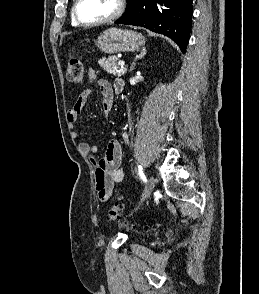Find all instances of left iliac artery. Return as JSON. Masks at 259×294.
<instances>
[{"mask_svg": "<svg viewBox=\"0 0 259 294\" xmlns=\"http://www.w3.org/2000/svg\"><path fill=\"white\" fill-rule=\"evenodd\" d=\"M138 172H139V176H140V178H141L144 182H147L146 176H145L144 173H143L142 166H139V167H138Z\"/></svg>", "mask_w": 259, "mask_h": 294, "instance_id": "left-iliac-artery-1", "label": "left iliac artery"}]
</instances>
